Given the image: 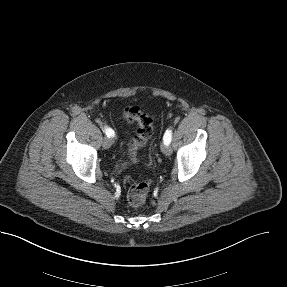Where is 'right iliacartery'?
Returning <instances> with one entry per match:
<instances>
[{
  "label": "right iliac artery",
  "mask_w": 287,
  "mask_h": 287,
  "mask_svg": "<svg viewBox=\"0 0 287 287\" xmlns=\"http://www.w3.org/2000/svg\"><path fill=\"white\" fill-rule=\"evenodd\" d=\"M104 132L107 135V137H113L114 131L109 127H104Z\"/></svg>",
  "instance_id": "82829eb1"
}]
</instances>
